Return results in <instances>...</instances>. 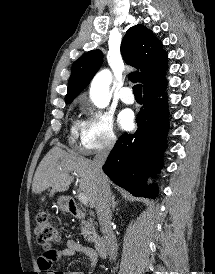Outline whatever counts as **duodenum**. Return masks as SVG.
I'll return each mask as SVG.
<instances>
[{
    "label": "duodenum",
    "mask_w": 215,
    "mask_h": 274,
    "mask_svg": "<svg viewBox=\"0 0 215 274\" xmlns=\"http://www.w3.org/2000/svg\"><path fill=\"white\" fill-rule=\"evenodd\" d=\"M66 206L68 208L69 213L75 218L83 219L85 217V214L82 212V210L79 208V206L73 199L68 198L66 200ZM94 248L100 257L106 256L107 243L102 236H97L94 239Z\"/></svg>",
    "instance_id": "obj_1"
}]
</instances>
